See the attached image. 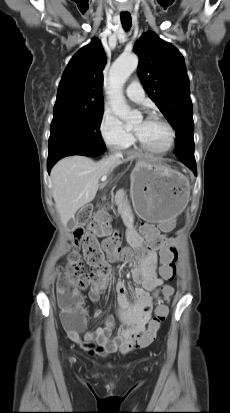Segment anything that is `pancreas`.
<instances>
[{
  "label": "pancreas",
  "mask_w": 230,
  "mask_h": 413,
  "mask_svg": "<svg viewBox=\"0 0 230 413\" xmlns=\"http://www.w3.org/2000/svg\"><path fill=\"white\" fill-rule=\"evenodd\" d=\"M115 204L118 206V212L121 214L125 224H128V212H131L129 201L124 190H118L114 197ZM133 217V216H132Z\"/></svg>",
  "instance_id": "obj_1"
}]
</instances>
